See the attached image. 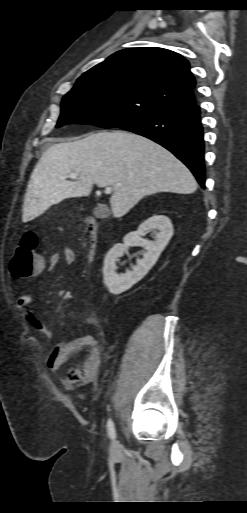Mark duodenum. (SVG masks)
<instances>
[{"mask_svg": "<svg viewBox=\"0 0 247 513\" xmlns=\"http://www.w3.org/2000/svg\"><path fill=\"white\" fill-rule=\"evenodd\" d=\"M85 231L88 235V254L93 260L96 256L97 239H98V224L92 217H87L85 220Z\"/></svg>", "mask_w": 247, "mask_h": 513, "instance_id": "obj_1", "label": "duodenum"}]
</instances>
